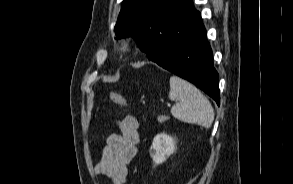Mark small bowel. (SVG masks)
I'll use <instances>...</instances> for the list:
<instances>
[{
  "label": "small bowel",
  "instance_id": "small-bowel-1",
  "mask_svg": "<svg viewBox=\"0 0 293 184\" xmlns=\"http://www.w3.org/2000/svg\"><path fill=\"white\" fill-rule=\"evenodd\" d=\"M119 133H108L99 162L94 171L108 178L112 184H125L129 174V164L137 153L139 142V121L127 115L116 121Z\"/></svg>",
  "mask_w": 293,
  "mask_h": 184
}]
</instances>
